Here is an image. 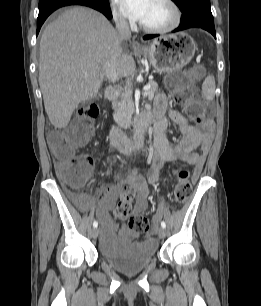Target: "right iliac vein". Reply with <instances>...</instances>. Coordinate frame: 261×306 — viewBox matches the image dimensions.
Masks as SVG:
<instances>
[{
  "label": "right iliac vein",
  "mask_w": 261,
  "mask_h": 306,
  "mask_svg": "<svg viewBox=\"0 0 261 306\" xmlns=\"http://www.w3.org/2000/svg\"><path fill=\"white\" fill-rule=\"evenodd\" d=\"M91 234H92V237L94 239H96L98 237V235H99V228H97V227L93 228Z\"/></svg>",
  "instance_id": "right-iliac-vein-1"
}]
</instances>
